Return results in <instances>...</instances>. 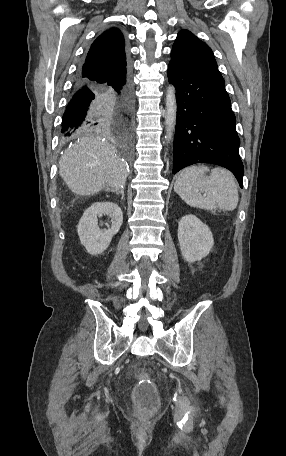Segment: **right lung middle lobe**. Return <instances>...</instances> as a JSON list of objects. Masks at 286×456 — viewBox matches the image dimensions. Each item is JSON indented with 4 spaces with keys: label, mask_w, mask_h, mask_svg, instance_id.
<instances>
[{
    "label": "right lung middle lobe",
    "mask_w": 286,
    "mask_h": 456,
    "mask_svg": "<svg viewBox=\"0 0 286 456\" xmlns=\"http://www.w3.org/2000/svg\"><path fill=\"white\" fill-rule=\"evenodd\" d=\"M120 139H121V138H120ZM131 140H132V137H131L130 141H128V142L125 141V140H123V139H121V141H122L124 144H126V145H129V144L131 143Z\"/></svg>",
    "instance_id": "obj_1"
}]
</instances>
